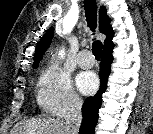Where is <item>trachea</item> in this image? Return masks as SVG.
<instances>
[{"instance_id": "trachea-1", "label": "trachea", "mask_w": 153, "mask_h": 134, "mask_svg": "<svg viewBox=\"0 0 153 134\" xmlns=\"http://www.w3.org/2000/svg\"><path fill=\"white\" fill-rule=\"evenodd\" d=\"M85 16L88 23V27L92 31L96 28L97 22V5L95 0H84ZM93 55L97 60L100 59L102 53V43L99 40L93 42L92 45Z\"/></svg>"}]
</instances>
